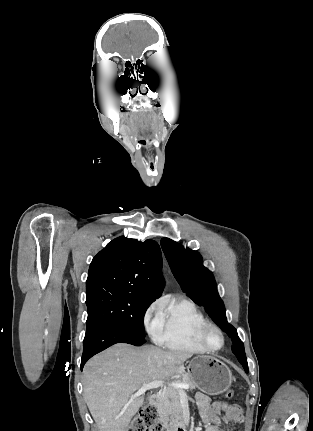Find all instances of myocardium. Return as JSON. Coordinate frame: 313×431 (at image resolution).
Here are the masks:
<instances>
[{
  "label": "myocardium",
  "mask_w": 313,
  "mask_h": 431,
  "mask_svg": "<svg viewBox=\"0 0 313 431\" xmlns=\"http://www.w3.org/2000/svg\"><path fill=\"white\" fill-rule=\"evenodd\" d=\"M210 330H215L220 335V337H221V345H220V347H218V348H212L208 344V342L206 340V335H207V333ZM199 340H200L201 345L206 349V351H209V352L220 351L224 347V345H225V336H224L223 331L221 330V328L219 326H217L216 324L211 323V322H207L202 327V329L200 331V334H199Z\"/></svg>",
  "instance_id": "myocardium-1"
}]
</instances>
